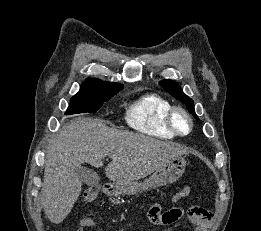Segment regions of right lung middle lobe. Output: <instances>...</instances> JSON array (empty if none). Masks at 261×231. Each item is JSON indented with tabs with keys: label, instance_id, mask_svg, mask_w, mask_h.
<instances>
[{
	"label": "right lung middle lobe",
	"instance_id": "right-lung-middle-lobe-1",
	"mask_svg": "<svg viewBox=\"0 0 261 231\" xmlns=\"http://www.w3.org/2000/svg\"><path fill=\"white\" fill-rule=\"evenodd\" d=\"M117 92L98 95H75L71 98V102L65 115L95 113L104 102L112 98Z\"/></svg>",
	"mask_w": 261,
	"mask_h": 231
}]
</instances>
